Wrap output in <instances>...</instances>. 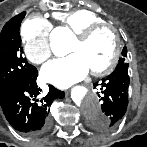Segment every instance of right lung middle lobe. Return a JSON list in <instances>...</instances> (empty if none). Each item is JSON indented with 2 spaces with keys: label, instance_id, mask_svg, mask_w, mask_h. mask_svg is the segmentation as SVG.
Returning <instances> with one entry per match:
<instances>
[{
  "label": "right lung middle lobe",
  "instance_id": "obj_1",
  "mask_svg": "<svg viewBox=\"0 0 147 147\" xmlns=\"http://www.w3.org/2000/svg\"><path fill=\"white\" fill-rule=\"evenodd\" d=\"M26 12H22L9 20L0 33V89L29 79L37 73L23 57L20 24Z\"/></svg>",
  "mask_w": 147,
  "mask_h": 147
}]
</instances>
